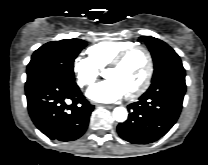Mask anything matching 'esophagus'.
<instances>
[{
	"instance_id": "obj_1",
	"label": "esophagus",
	"mask_w": 208,
	"mask_h": 165,
	"mask_svg": "<svg viewBox=\"0 0 208 165\" xmlns=\"http://www.w3.org/2000/svg\"><path fill=\"white\" fill-rule=\"evenodd\" d=\"M97 107L112 109L114 105L96 104Z\"/></svg>"
}]
</instances>
